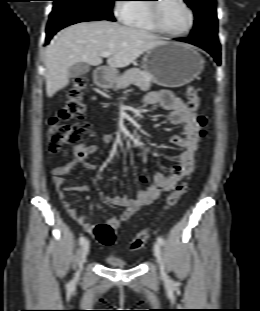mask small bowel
Instances as JSON below:
<instances>
[{"mask_svg":"<svg viewBox=\"0 0 260 311\" xmlns=\"http://www.w3.org/2000/svg\"><path fill=\"white\" fill-rule=\"evenodd\" d=\"M145 102L148 105H158L168 112V121L171 125L180 126V134L173 135L171 142L181 148L178 162L169 174L156 173L153 183L145 189H142L136 198H128L125 195L107 198V202L123 208L119 217L112 218L108 221L115 229L120 224L128 220L142 206L156 201L160 195L174 188L176 183L185 175L191 172L194 156L197 150L199 139V125L197 115L191 112L183 100L175 96L168 90L152 91L146 95ZM113 135L110 132H103L100 135L98 143L87 146L79 145L74 148V158L70 162L56 166L52 169V182L62 202L63 208L67 214L80 224L88 233H93L95 225L87 222L83 214L79 213L66 199L67 191L81 192L84 187H73L66 183L65 176L77 164L82 165L86 170H95V165L90 162L89 158L96 154L101 146L111 143ZM141 182L147 181L145 176H141Z\"/></svg>","mask_w":260,"mask_h":311,"instance_id":"c3829d8e","label":"small bowel"}]
</instances>
